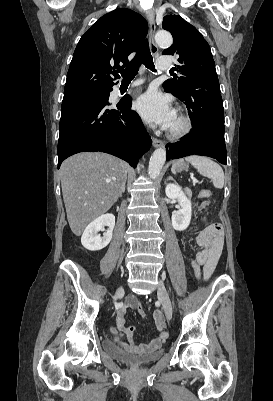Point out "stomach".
Here are the masks:
<instances>
[{
	"label": "stomach",
	"mask_w": 273,
	"mask_h": 401,
	"mask_svg": "<svg viewBox=\"0 0 273 401\" xmlns=\"http://www.w3.org/2000/svg\"><path fill=\"white\" fill-rule=\"evenodd\" d=\"M186 164H183V162H176L175 164V168H177V170H182V168H185Z\"/></svg>",
	"instance_id": "1"
}]
</instances>
